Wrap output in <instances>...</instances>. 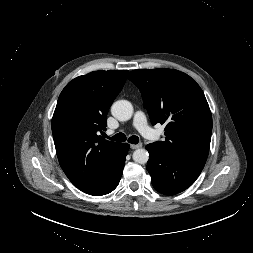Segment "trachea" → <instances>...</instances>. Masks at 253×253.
I'll return each instance as SVG.
<instances>
[{
    "label": "trachea",
    "mask_w": 253,
    "mask_h": 253,
    "mask_svg": "<svg viewBox=\"0 0 253 253\" xmlns=\"http://www.w3.org/2000/svg\"><path fill=\"white\" fill-rule=\"evenodd\" d=\"M110 139L113 141L124 142L126 141V135L124 133H118L114 135L113 137H111ZM128 142L132 144H137L139 142V138L133 135L129 137Z\"/></svg>",
    "instance_id": "1"
}]
</instances>
